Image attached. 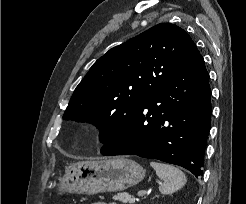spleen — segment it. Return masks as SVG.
I'll use <instances>...</instances> for the list:
<instances>
[{
    "instance_id": "obj_1",
    "label": "spleen",
    "mask_w": 246,
    "mask_h": 204,
    "mask_svg": "<svg viewBox=\"0 0 246 204\" xmlns=\"http://www.w3.org/2000/svg\"><path fill=\"white\" fill-rule=\"evenodd\" d=\"M150 166L155 169L157 176L163 180V183L159 186V191L162 194H172L187 182L185 174L173 165L151 161Z\"/></svg>"
}]
</instances>
